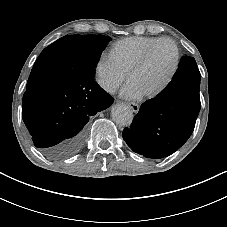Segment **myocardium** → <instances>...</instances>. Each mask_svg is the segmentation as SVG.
<instances>
[{"mask_svg": "<svg viewBox=\"0 0 227 227\" xmlns=\"http://www.w3.org/2000/svg\"><path fill=\"white\" fill-rule=\"evenodd\" d=\"M162 42H167L173 46L174 51H175L174 61L170 68V71H169L167 77L165 78V80L163 81V83L159 87H157L154 91L144 95L145 98H147V99H154V98L158 97L160 94H162L168 88V86L171 84V82L178 70V67L180 64L181 53H180V48H179L178 44L176 43V41H174L171 38H160V39L156 40L154 43H152L150 46H148L146 48V50L144 51L142 56L138 59V61L130 69L128 76H127V80L130 81L132 76L134 74H136L138 71H140L146 65V63L149 59V56H150L152 50L155 48V46H157L159 43H162Z\"/></svg>", "mask_w": 227, "mask_h": 227, "instance_id": "f54148a6", "label": "myocardium"}]
</instances>
